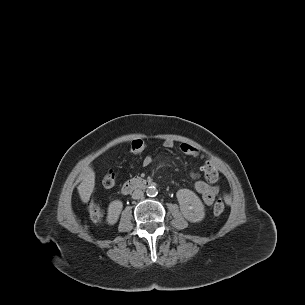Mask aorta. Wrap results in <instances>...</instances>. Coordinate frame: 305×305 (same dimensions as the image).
<instances>
[{
	"label": "aorta",
	"instance_id": "aorta-1",
	"mask_svg": "<svg viewBox=\"0 0 305 305\" xmlns=\"http://www.w3.org/2000/svg\"><path fill=\"white\" fill-rule=\"evenodd\" d=\"M146 193L148 196L150 197H154L157 195L158 191H157V188L154 187V186H149L147 189H146Z\"/></svg>",
	"mask_w": 305,
	"mask_h": 305
}]
</instances>
